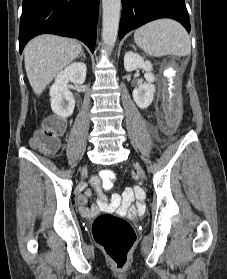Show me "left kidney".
<instances>
[{
  "instance_id": "left-kidney-1",
  "label": "left kidney",
  "mask_w": 227,
  "mask_h": 279,
  "mask_svg": "<svg viewBox=\"0 0 227 279\" xmlns=\"http://www.w3.org/2000/svg\"><path fill=\"white\" fill-rule=\"evenodd\" d=\"M124 68L127 72H131L138 68H142L145 71L144 78L146 79V83L136 87L132 95L139 108H147L152 103L155 93V86L153 85L155 76L151 72L153 69L152 64L149 61H144L139 54L128 51L124 56Z\"/></svg>"
}]
</instances>
